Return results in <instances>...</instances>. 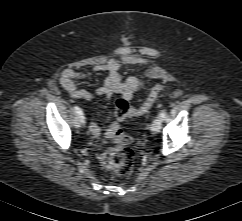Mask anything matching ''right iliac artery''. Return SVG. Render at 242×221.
<instances>
[{
	"label": "right iliac artery",
	"instance_id": "82829eb1",
	"mask_svg": "<svg viewBox=\"0 0 242 221\" xmlns=\"http://www.w3.org/2000/svg\"><path fill=\"white\" fill-rule=\"evenodd\" d=\"M73 109L76 112V114L81 118V122L85 123V120H84L85 117L83 115V112H82L81 108H79L78 106H74Z\"/></svg>",
	"mask_w": 242,
	"mask_h": 221
}]
</instances>
